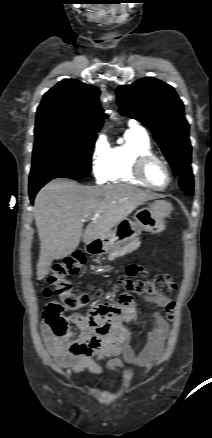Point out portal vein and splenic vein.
Returning a JSON list of instances; mask_svg holds the SVG:
<instances>
[{"instance_id":"portal-vein-and-splenic-vein-1","label":"portal vein and splenic vein","mask_w":212,"mask_h":438,"mask_svg":"<svg viewBox=\"0 0 212 438\" xmlns=\"http://www.w3.org/2000/svg\"><path fill=\"white\" fill-rule=\"evenodd\" d=\"M96 218H97V215H94V216H92V217H90V216H86V219L94 220V219H96Z\"/></svg>"}]
</instances>
